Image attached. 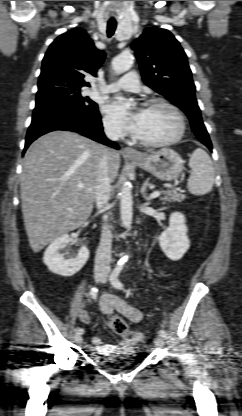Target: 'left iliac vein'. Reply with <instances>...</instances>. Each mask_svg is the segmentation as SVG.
Segmentation results:
<instances>
[{"label": "left iliac vein", "mask_w": 242, "mask_h": 416, "mask_svg": "<svg viewBox=\"0 0 242 416\" xmlns=\"http://www.w3.org/2000/svg\"><path fill=\"white\" fill-rule=\"evenodd\" d=\"M100 281H101L102 283H105V282L107 281V276H106V275H104V277H103ZM154 343H155V345H156L157 347H162V346L164 345V338H163L161 335H158V336L155 338Z\"/></svg>", "instance_id": "left-iliac-vein-1"}]
</instances>
